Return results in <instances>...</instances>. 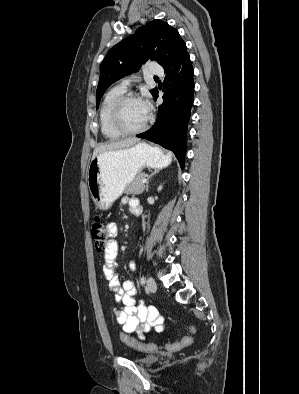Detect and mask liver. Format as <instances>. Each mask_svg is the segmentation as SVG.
I'll return each instance as SVG.
<instances>
[{
    "label": "liver",
    "instance_id": "obj_1",
    "mask_svg": "<svg viewBox=\"0 0 299 394\" xmlns=\"http://www.w3.org/2000/svg\"><path fill=\"white\" fill-rule=\"evenodd\" d=\"M138 142H139V139H137V138H127V139L120 140V141L110 142L108 144H100L94 149L92 158H94L97 155H99L100 153H103L106 151H114V150H118V149L132 147L133 145H135Z\"/></svg>",
    "mask_w": 299,
    "mask_h": 394
}]
</instances>
